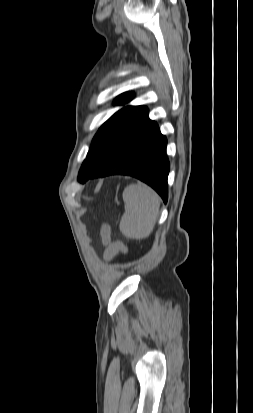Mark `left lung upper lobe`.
I'll list each match as a JSON object with an SVG mask.
<instances>
[{
  "label": "left lung upper lobe",
  "instance_id": "1",
  "mask_svg": "<svg viewBox=\"0 0 253 413\" xmlns=\"http://www.w3.org/2000/svg\"><path fill=\"white\" fill-rule=\"evenodd\" d=\"M132 98L133 93H124L116 98L115 103L125 104ZM146 109L145 106H127L115 113L101 126L93 138L87 160L83 162L79 171L78 180L80 182L97 171L110 158L122 135L121 123L137 118Z\"/></svg>",
  "mask_w": 253,
  "mask_h": 413
}]
</instances>
